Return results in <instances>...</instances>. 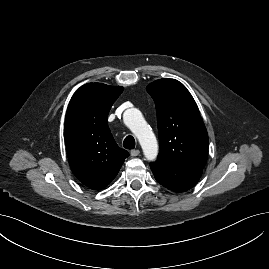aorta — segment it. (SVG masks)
Here are the masks:
<instances>
[{"label":"aorta","instance_id":"1","mask_svg":"<svg viewBox=\"0 0 269 269\" xmlns=\"http://www.w3.org/2000/svg\"><path fill=\"white\" fill-rule=\"evenodd\" d=\"M123 119L124 123L137 137L145 158L149 161L155 160L158 155L157 139L145 122L141 112L135 108L128 109L125 111Z\"/></svg>","mask_w":269,"mask_h":269}]
</instances>
